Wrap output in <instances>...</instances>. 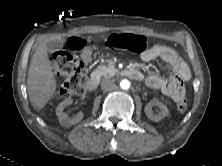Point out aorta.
Here are the masks:
<instances>
[{"label": "aorta", "mask_w": 222, "mask_h": 166, "mask_svg": "<svg viewBox=\"0 0 222 166\" xmlns=\"http://www.w3.org/2000/svg\"><path fill=\"white\" fill-rule=\"evenodd\" d=\"M120 87L122 89H129L130 88V82L127 79H124L120 82Z\"/></svg>", "instance_id": "obj_1"}]
</instances>
